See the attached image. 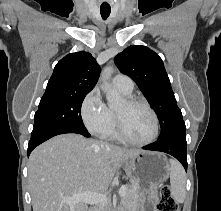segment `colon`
Instances as JSON below:
<instances>
[{
	"mask_svg": "<svg viewBox=\"0 0 221 211\" xmlns=\"http://www.w3.org/2000/svg\"><path fill=\"white\" fill-rule=\"evenodd\" d=\"M157 210L158 211H179L178 204L172 196L170 187L167 185L161 187L160 189Z\"/></svg>",
	"mask_w": 221,
	"mask_h": 211,
	"instance_id": "colon-1",
	"label": "colon"
}]
</instances>
